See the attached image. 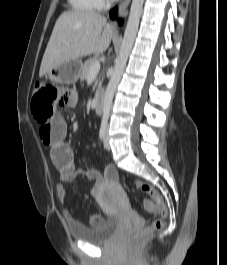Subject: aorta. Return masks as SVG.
Wrapping results in <instances>:
<instances>
[{"instance_id":"1","label":"aorta","mask_w":227,"mask_h":265,"mask_svg":"<svg viewBox=\"0 0 227 265\" xmlns=\"http://www.w3.org/2000/svg\"><path fill=\"white\" fill-rule=\"evenodd\" d=\"M144 0H133L131 4L130 14L128 22L125 28L124 38L122 41L121 49L119 55L115 62V67L111 79L106 88L104 99H103V116L102 122L107 123L110 109L112 106V101L116 87L121 79L124 68L126 66L128 56L133 47L135 37L138 31L139 20L142 14Z\"/></svg>"}]
</instances>
